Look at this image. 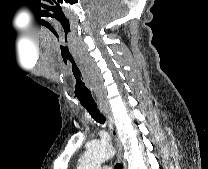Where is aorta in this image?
Returning <instances> with one entry per match:
<instances>
[{"label":"aorta","mask_w":208,"mask_h":169,"mask_svg":"<svg viewBox=\"0 0 208 169\" xmlns=\"http://www.w3.org/2000/svg\"><path fill=\"white\" fill-rule=\"evenodd\" d=\"M114 154L115 150L109 143H96L81 156L78 169H100L101 164Z\"/></svg>","instance_id":"aorta-1"}]
</instances>
